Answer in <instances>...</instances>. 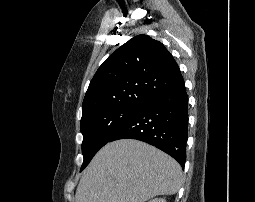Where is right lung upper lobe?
<instances>
[{
    "label": "right lung upper lobe",
    "mask_w": 255,
    "mask_h": 202,
    "mask_svg": "<svg viewBox=\"0 0 255 202\" xmlns=\"http://www.w3.org/2000/svg\"><path fill=\"white\" fill-rule=\"evenodd\" d=\"M184 85L179 66L162 43L137 35L112 53L90 82L82 117L117 106H141Z\"/></svg>",
    "instance_id": "right-lung-upper-lobe-1"
}]
</instances>
